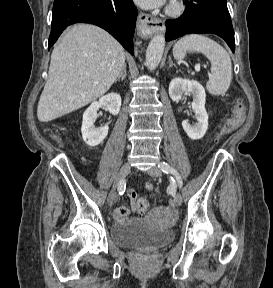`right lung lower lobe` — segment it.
Segmentation results:
<instances>
[{"mask_svg": "<svg viewBox=\"0 0 273 288\" xmlns=\"http://www.w3.org/2000/svg\"><path fill=\"white\" fill-rule=\"evenodd\" d=\"M136 19L132 0H54L48 49L67 26L85 22L108 31L133 55Z\"/></svg>", "mask_w": 273, "mask_h": 288, "instance_id": "obj_1", "label": "right lung lower lobe"}]
</instances>
